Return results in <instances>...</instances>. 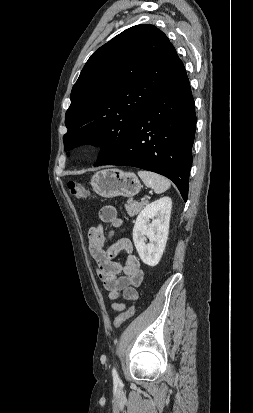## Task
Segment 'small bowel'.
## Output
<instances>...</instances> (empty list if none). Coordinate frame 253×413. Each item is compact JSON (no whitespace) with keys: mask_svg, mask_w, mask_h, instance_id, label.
I'll return each instance as SVG.
<instances>
[{"mask_svg":"<svg viewBox=\"0 0 253 413\" xmlns=\"http://www.w3.org/2000/svg\"><path fill=\"white\" fill-rule=\"evenodd\" d=\"M99 220L100 223L91 227L88 232L89 252L97 264L98 276L108 292L109 299L133 302L138 298L137 287L141 285L144 276L140 261L133 252V244L129 238L124 237L106 247L114 229L123 227V220L118 217L115 207H102ZM104 224H110L112 230L106 232ZM121 252L126 255L123 263L115 260ZM112 308L122 311L125 303L115 302Z\"/></svg>","mask_w":253,"mask_h":413,"instance_id":"obj_1","label":"small bowel"}]
</instances>
